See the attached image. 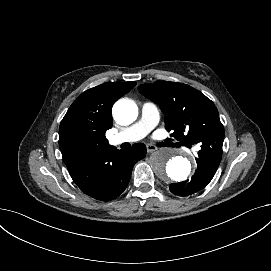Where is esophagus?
Segmentation results:
<instances>
[{
    "label": "esophagus",
    "instance_id": "obj_1",
    "mask_svg": "<svg viewBox=\"0 0 271 271\" xmlns=\"http://www.w3.org/2000/svg\"><path fill=\"white\" fill-rule=\"evenodd\" d=\"M146 148L148 153L154 152L158 149V147L154 144H147Z\"/></svg>",
    "mask_w": 271,
    "mask_h": 271
}]
</instances>
